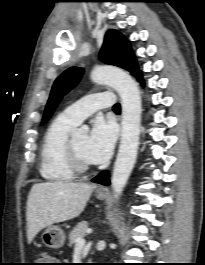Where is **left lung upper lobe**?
<instances>
[{
  "mask_svg": "<svg viewBox=\"0 0 205 265\" xmlns=\"http://www.w3.org/2000/svg\"><path fill=\"white\" fill-rule=\"evenodd\" d=\"M99 57L104 63L124 68L136 77L140 73L128 40L117 30L111 29L106 33ZM83 72V68L71 67L56 79L45 108L42 125L50 118L62 97L78 84Z\"/></svg>",
  "mask_w": 205,
  "mask_h": 265,
  "instance_id": "5c2ea615",
  "label": "left lung upper lobe"
}]
</instances>
